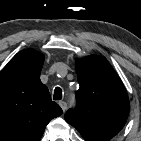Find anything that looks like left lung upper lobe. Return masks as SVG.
Segmentation results:
<instances>
[{
	"label": "left lung upper lobe",
	"instance_id": "1",
	"mask_svg": "<svg viewBox=\"0 0 141 141\" xmlns=\"http://www.w3.org/2000/svg\"><path fill=\"white\" fill-rule=\"evenodd\" d=\"M76 70L78 106L67 111L65 120L86 141H109L123 128L129 114L126 89L110 64L99 56L77 59Z\"/></svg>",
	"mask_w": 141,
	"mask_h": 141
}]
</instances>
